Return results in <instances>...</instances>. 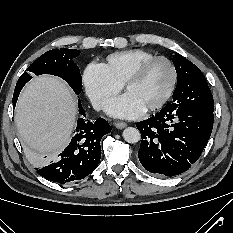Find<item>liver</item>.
<instances>
[{
	"mask_svg": "<svg viewBox=\"0 0 233 233\" xmlns=\"http://www.w3.org/2000/svg\"><path fill=\"white\" fill-rule=\"evenodd\" d=\"M77 105L69 87L60 79L35 77L23 89L16 106L15 122L21 139L37 156L60 152L69 142L75 126Z\"/></svg>",
	"mask_w": 233,
	"mask_h": 233,
	"instance_id": "6515ba94",
	"label": "liver"
}]
</instances>
